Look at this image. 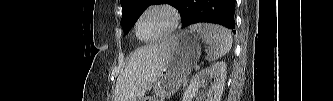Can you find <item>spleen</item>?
Listing matches in <instances>:
<instances>
[{
	"label": "spleen",
	"instance_id": "1",
	"mask_svg": "<svg viewBox=\"0 0 333 101\" xmlns=\"http://www.w3.org/2000/svg\"><path fill=\"white\" fill-rule=\"evenodd\" d=\"M189 28L190 31L197 32L208 45L206 56L208 61H216L230 51L233 40L228 29L207 23L194 24Z\"/></svg>",
	"mask_w": 333,
	"mask_h": 101
}]
</instances>
